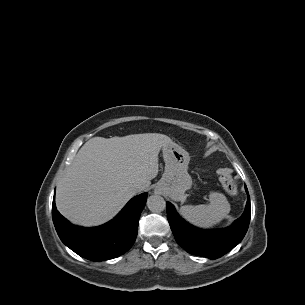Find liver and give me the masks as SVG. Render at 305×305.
Returning a JSON list of instances; mask_svg holds the SVG:
<instances>
[{
	"label": "liver",
	"instance_id": "liver-1",
	"mask_svg": "<svg viewBox=\"0 0 305 305\" xmlns=\"http://www.w3.org/2000/svg\"><path fill=\"white\" fill-rule=\"evenodd\" d=\"M173 143L158 133L91 138L57 185L58 211L82 226L109 221L136 193L150 186L159 171L161 148Z\"/></svg>",
	"mask_w": 305,
	"mask_h": 305
}]
</instances>
